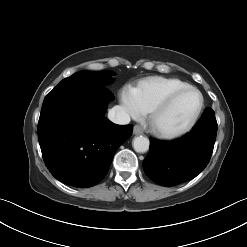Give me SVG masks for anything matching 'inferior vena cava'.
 <instances>
[{"label":"inferior vena cava","instance_id":"inferior-vena-cava-1","mask_svg":"<svg viewBox=\"0 0 247 247\" xmlns=\"http://www.w3.org/2000/svg\"><path fill=\"white\" fill-rule=\"evenodd\" d=\"M108 118L116 124H128L130 122V116L125 108L121 106H114L109 110Z\"/></svg>","mask_w":247,"mask_h":247}]
</instances>
